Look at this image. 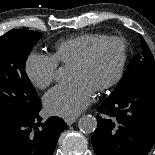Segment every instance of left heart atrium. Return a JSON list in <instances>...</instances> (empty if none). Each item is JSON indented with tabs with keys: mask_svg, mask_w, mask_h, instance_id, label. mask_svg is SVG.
<instances>
[{
	"mask_svg": "<svg viewBox=\"0 0 155 155\" xmlns=\"http://www.w3.org/2000/svg\"><path fill=\"white\" fill-rule=\"evenodd\" d=\"M94 92L86 83L73 81L51 89L44 96V106L51 115L73 118L92 102Z\"/></svg>",
	"mask_w": 155,
	"mask_h": 155,
	"instance_id": "1",
	"label": "left heart atrium"
}]
</instances>
